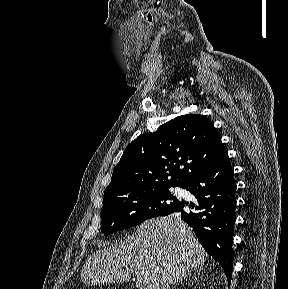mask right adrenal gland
<instances>
[{
	"label": "right adrenal gland",
	"instance_id": "1",
	"mask_svg": "<svg viewBox=\"0 0 288 289\" xmlns=\"http://www.w3.org/2000/svg\"><path fill=\"white\" fill-rule=\"evenodd\" d=\"M190 277H191V274H190ZM185 278V277H184ZM180 281H182V279L181 280H179V281H177V283H179Z\"/></svg>",
	"mask_w": 288,
	"mask_h": 289
}]
</instances>
